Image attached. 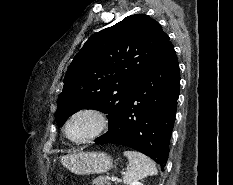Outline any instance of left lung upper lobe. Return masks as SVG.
Here are the masks:
<instances>
[{"label":"left lung upper lobe","mask_w":233,"mask_h":185,"mask_svg":"<svg viewBox=\"0 0 233 185\" xmlns=\"http://www.w3.org/2000/svg\"><path fill=\"white\" fill-rule=\"evenodd\" d=\"M169 43L160 24L145 14L124 18L92 35L74 57L58 98L56 121L62 126L80 109L107 114L113 127L136 83Z\"/></svg>","instance_id":"5c2ea615"}]
</instances>
